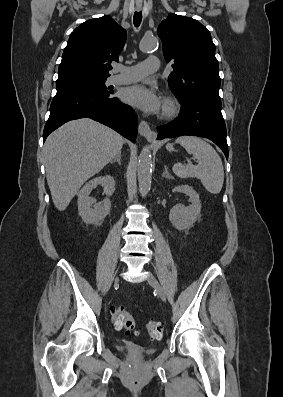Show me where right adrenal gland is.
I'll list each match as a JSON object with an SVG mask.
<instances>
[{
  "mask_svg": "<svg viewBox=\"0 0 283 397\" xmlns=\"http://www.w3.org/2000/svg\"><path fill=\"white\" fill-rule=\"evenodd\" d=\"M114 162H118V164L121 165V152H119L117 156L110 161L111 164H113Z\"/></svg>",
  "mask_w": 283,
  "mask_h": 397,
  "instance_id": "right-adrenal-gland-1",
  "label": "right adrenal gland"
}]
</instances>
